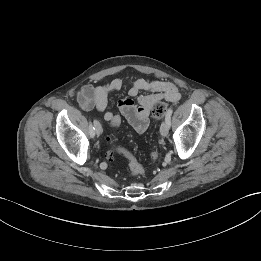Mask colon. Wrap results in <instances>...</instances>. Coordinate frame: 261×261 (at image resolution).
Segmentation results:
<instances>
[{
	"mask_svg": "<svg viewBox=\"0 0 261 261\" xmlns=\"http://www.w3.org/2000/svg\"><path fill=\"white\" fill-rule=\"evenodd\" d=\"M168 108H169V104L165 102H158L154 104L151 112L152 118L154 120H159L164 116ZM120 122H121L120 118H114L111 123L114 126H118ZM108 140L110 143V150H109L110 159H112L113 156L117 153H123L129 159V167L132 175H141L144 173L143 165L134 157V155L130 151L119 147L113 136H110ZM157 158H158V151L154 149L151 152V159L156 160Z\"/></svg>",
	"mask_w": 261,
	"mask_h": 261,
	"instance_id": "1",
	"label": "colon"
}]
</instances>
